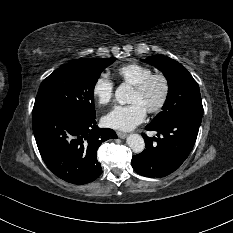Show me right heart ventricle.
Wrapping results in <instances>:
<instances>
[{
    "mask_svg": "<svg viewBox=\"0 0 233 233\" xmlns=\"http://www.w3.org/2000/svg\"><path fill=\"white\" fill-rule=\"evenodd\" d=\"M151 74H153V70L150 67L138 63H129L117 69L119 78L133 87Z\"/></svg>",
    "mask_w": 233,
    "mask_h": 233,
    "instance_id": "e07e8e85",
    "label": "right heart ventricle"
}]
</instances>
